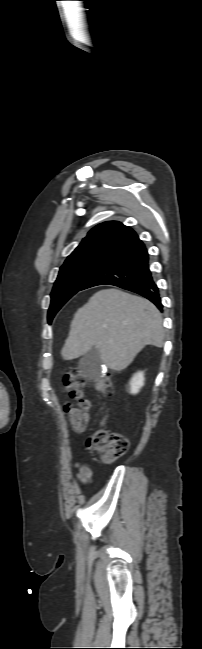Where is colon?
<instances>
[{"label":"colon","mask_w":202,"mask_h":649,"mask_svg":"<svg viewBox=\"0 0 202 649\" xmlns=\"http://www.w3.org/2000/svg\"><path fill=\"white\" fill-rule=\"evenodd\" d=\"M64 384L71 396L78 401L76 406L66 403L64 406L65 413L75 430L83 431L90 417V402L84 394L86 380L78 370L71 369L64 376ZM93 386L97 392L109 395L112 393L113 381L110 376L105 375L97 379ZM87 445L103 461L113 462L127 452L129 439L123 434L112 433L104 428H99L90 435Z\"/></svg>","instance_id":"obj_1"}]
</instances>
